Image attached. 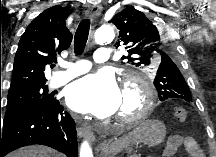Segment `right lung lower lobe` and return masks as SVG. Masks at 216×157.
I'll use <instances>...</instances> for the list:
<instances>
[{"instance_id":"obj_1","label":"right lung lower lobe","mask_w":216,"mask_h":157,"mask_svg":"<svg viewBox=\"0 0 216 157\" xmlns=\"http://www.w3.org/2000/svg\"><path fill=\"white\" fill-rule=\"evenodd\" d=\"M30 144H41L78 157L75 122L58 100L52 106L27 111L0 122V157Z\"/></svg>"}]
</instances>
